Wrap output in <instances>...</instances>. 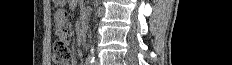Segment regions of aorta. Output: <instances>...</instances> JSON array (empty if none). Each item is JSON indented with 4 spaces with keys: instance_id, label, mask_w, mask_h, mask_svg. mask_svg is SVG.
<instances>
[{
    "instance_id": "obj_1",
    "label": "aorta",
    "mask_w": 232,
    "mask_h": 65,
    "mask_svg": "<svg viewBox=\"0 0 232 65\" xmlns=\"http://www.w3.org/2000/svg\"><path fill=\"white\" fill-rule=\"evenodd\" d=\"M93 50H94V49H93V47L91 46V50H90V51H91L92 54H93Z\"/></svg>"
}]
</instances>
